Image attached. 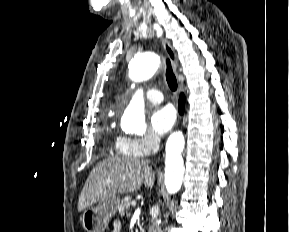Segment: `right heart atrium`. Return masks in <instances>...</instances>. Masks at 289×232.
<instances>
[{
    "label": "right heart atrium",
    "instance_id": "right-heart-atrium-1",
    "mask_svg": "<svg viewBox=\"0 0 289 232\" xmlns=\"http://www.w3.org/2000/svg\"><path fill=\"white\" fill-rule=\"evenodd\" d=\"M158 147L159 140L153 134L140 137L121 136L116 144V148L120 153L135 157L147 156L157 150Z\"/></svg>",
    "mask_w": 289,
    "mask_h": 232
}]
</instances>
